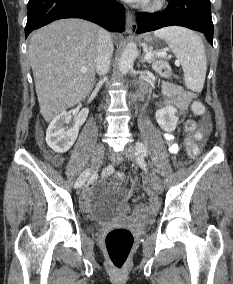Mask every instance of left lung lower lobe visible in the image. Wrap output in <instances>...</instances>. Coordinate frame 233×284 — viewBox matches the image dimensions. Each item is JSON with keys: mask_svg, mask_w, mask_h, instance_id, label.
I'll list each match as a JSON object with an SVG mask.
<instances>
[{"mask_svg": "<svg viewBox=\"0 0 233 284\" xmlns=\"http://www.w3.org/2000/svg\"><path fill=\"white\" fill-rule=\"evenodd\" d=\"M137 33L178 25L204 33L213 44V22L210 0H169L163 12L138 13Z\"/></svg>", "mask_w": 233, "mask_h": 284, "instance_id": "0a47b994", "label": "left lung lower lobe"}]
</instances>
